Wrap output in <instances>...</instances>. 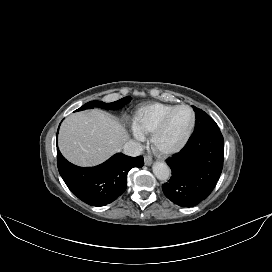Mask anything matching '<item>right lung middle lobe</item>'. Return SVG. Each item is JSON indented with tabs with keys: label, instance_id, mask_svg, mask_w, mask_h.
Masks as SVG:
<instances>
[{
	"label": "right lung middle lobe",
	"instance_id": "dd1d6c3e",
	"mask_svg": "<svg viewBox=\"0 0 272 272\" xmlns=\"http://www.w3.org/2000/svg\"><path fill=\"white\" fill-rule=\"evenodd\" d=\"M131 100V97H124L118 101L112 103H104L102 101H91L83 105L81 108L77 109L76 111H82L85 109H92L94 107L110 110V109H119L123 107L126 103Z\"/></svg>",
	"mask_w": 272,
	"mask_h": 272
}]
</instances>
